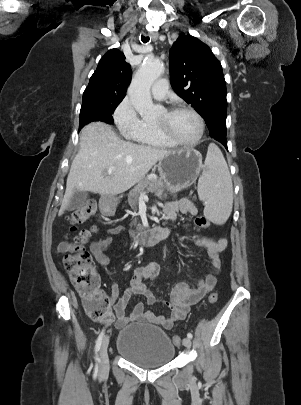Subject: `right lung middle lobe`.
<instances>
[{
	"instance_id": "obj_1",
	"label": "right lung middle lobe",
	"mask_w": 301,
	"mask_h": 405,
	"mask_svg": "<svg viewBox=\"0 0 301 405\" xmlns=\"http://www.w3.org/2000/svg\"><path fill=\"white\" fill-rule=\"evenodd\" d=\"M122 99L90 97L83 99L80 110V128L92 121L113 123L112 114Z\"/></svg>"
}]
</instances>
